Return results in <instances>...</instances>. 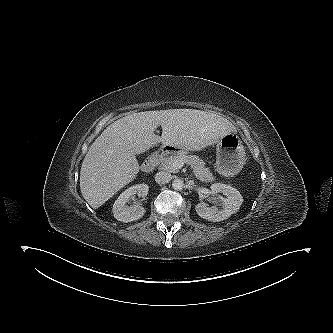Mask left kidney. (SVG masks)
<instances>
[{"instance_id":"obj_1","label":"left kidney","mask_w":333,"mask_h":333,"mask_svg":"<svg viewBox=\"0 0 333 333\" xmlns=\"http://www.w3.org/2000/svg\"><path fill=\"white\" fill-rule=\"evenodd\" d=\"M211 190L213 194L223 193L225 195V198H221L224 207L218 209L216 206L207 207L205 203H198L195 209L201 218L218 222L229 218L240 209L243 197L237 189L230 185L215 183L211 186Z\"/></svg>"}]
</instances>
